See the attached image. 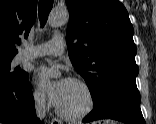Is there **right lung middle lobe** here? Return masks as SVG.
<instances>
[{"instance_id":"dd1d6c3e","label":"right lung middle lobe","mask_w":156,"mask_h":124,"mask_svg":"<svg viewBox=\"0 0 156 124\" xmlns=\"http://www.w3.org/2000/svg\"><path fill=\"white\" fill-rule=\"evenodd\" d=\"M12 59H3L0 60V73H2L6 78L21 81L27 79L28 73L23 70L15 69L13 72H10V63Z\"/></svg>"}]
</instances>
